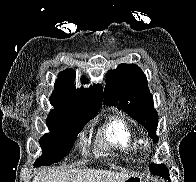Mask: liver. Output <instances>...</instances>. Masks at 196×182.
I'll use <instances>...</instances> for the list:
<instances>
[{
    "mask_svg": "<svg viewBox=\"0 0 196 182\" xmlns=\"http://www.w3.org/2000/svg\"><path fill=\"white\" fill-rule=\"evenodd\" d=\"M131 175L107 170H51L38 174L32 182H125Z\"/></svg>",
    "mask_w": 196,
    "mask_h": 182,
    "instance_id": "obj_1",
    "label": "liver"
}]
</instances>
